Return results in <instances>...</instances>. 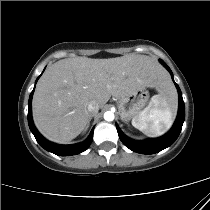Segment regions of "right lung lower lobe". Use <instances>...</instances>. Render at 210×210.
Instances as JSON below:
<instances>
[{"label":"right lung lower lobe","instance_id":"1","mask_svg":"<svg viewBox=\"0 0 210 210\" xmlns=\"http://www.w3.org/2000/svg\"><path fill=\"white\" fill-rule=\"evenodd\" d=\"M38 78H37V80H38ZM37 80H36V82H37ZM33 92H34V89L30 94L29 102H28V124H29L31 132L33 133V135L36 138L39 145L41 147H43L45 150H47L51 153H54L56 155H59V156H70V155H76L81 152H84L90 146V144L92 142L93 129H92L90 135L88 136V138L84 142L74 144V145H58V144L51 143L48 140H46L44 137H42V135L35 128V126L33 124V120H32L31 101H32Z\"/></svg>","mask_w":210,"mask_h":210}]
</instances>
